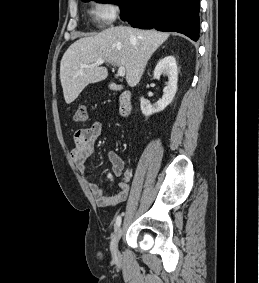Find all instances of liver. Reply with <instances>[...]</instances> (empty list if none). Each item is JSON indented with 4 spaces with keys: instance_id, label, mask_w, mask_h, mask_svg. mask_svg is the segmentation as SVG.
<instances>
[{
    "instance_id": "obj_1",
    "label": "liver",
    "mask_w": 259,
    "mask_h": 283,
    "mask_svg": "<svg viewBox=\"0 0 259 283\" xmlns=\"http://www.w3.org/2000/svg\"><path fill=\"white\" fill-rule=\"evenodd\" d=\"M168 37V33L155 30L117 26L75 41L66 50L60 63L65 102L72 103L87 85L107 78L105 67L93 66L100 58L124 67L128 85L135 87L148 60Z\"/></svg>"
}]
</instances>
